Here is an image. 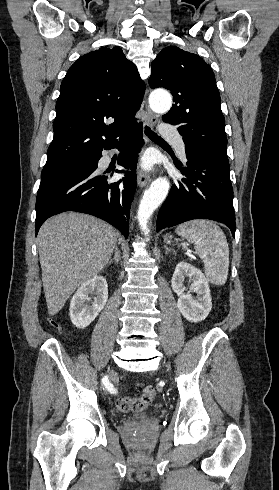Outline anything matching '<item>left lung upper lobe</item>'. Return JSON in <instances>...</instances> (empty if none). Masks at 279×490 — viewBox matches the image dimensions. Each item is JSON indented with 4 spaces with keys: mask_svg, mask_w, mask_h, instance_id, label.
Returning a JSON list of instances; mask_svg holds the SVG:
<instances>
[{
    "mask_svg": "<svg viewBox=\"0 0 279 490\" xmlns=\"http://www.w3.org/2000/svg\"><path fill=\"white\" fill-rule=\"evenodd\" d=\"M151 67L150 87L169 89L176 102L163 121L179 125L186 146H205L227 156L225 120L210 66L196 54L169 46Z\"/></svg>",
    "mask_w": 279,
    "mask_h": 490,
    "instance_id": "obj_1",
    "label": "left lung upper lobe"
}]
</instances>
